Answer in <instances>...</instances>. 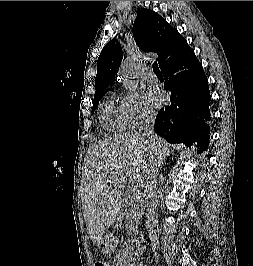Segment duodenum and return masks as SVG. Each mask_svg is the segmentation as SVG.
<instances>
[{
  "mask_svg": "<svg viewBox=\"0 0 253 266\" xmlns=\"http://www.w3.org/2000/svg\"><path fill=\"white\" fill-rule=\"evenodd\" d=\"M121 266H130V259L125 257L121 262Z\"/></svg>",
  "mask_w": 253,
  "mask_h": 266,
  "instance_id": "duodenum-1",
  "label": "duodenum"
}]
</instances>
